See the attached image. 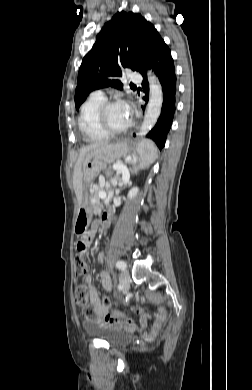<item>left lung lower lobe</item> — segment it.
I'll return each instance as SVG.
<instances>
[{"instance_id":"1","label":"left lung lower lobe","mask_w":252,"mask_h":390,"mask_svg":"<svg viewBox=\"0 0 252 390\" xmlns=\"http://www.w3.org/2000/svg\"><path fill=\"white\" fill-rule=\"evenodd\" d=\"M146 68L155 72L162 86L163 103L161 113L157 123L147 134V137L153 140L161 150L165 145L167 134L174 119L177 100V77L174 62L170 49L164 40L159 43ZM141 74L144 78L142 87L145 97L143 99L148 102L149 83L145 70ZM142 109L144 111V107Z\"/></svg>"}]
</instances>
